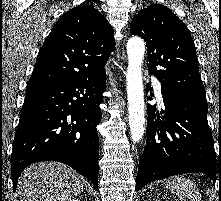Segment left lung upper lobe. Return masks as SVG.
I'll return each mask as SVG.
<instances>
[{"instance_id":"left-lung-upper-lobe-1","label":"left lung upper lobe","mask_w":221,"mask_h":201,"mask_svg":"<svg viewBox=\"0 0 221 201\" xmlns=\"http://www.w3.org/2000/svg\"><path fill=\"white\" fill-rule=\"evenodd\" d=\"M130 32L145 40L148 70L162 90L206 98L191 34L169 8L153 4L143 9L132 20Z\"/></svg>"}]
</instances>
